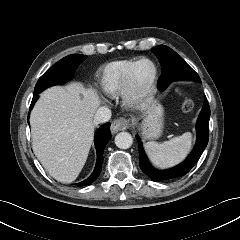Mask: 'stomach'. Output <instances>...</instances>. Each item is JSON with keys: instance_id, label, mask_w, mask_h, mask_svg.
<instances>
[{"instance_id": "0dacf381", "label": "stomach", "mask_w": 240, "mask_h": 240, "mask_svg": "<svg viewBox=\"0 0 240 240\" xmlns=\"http://www.w3.org/2000/svg\"><path fill=\"white\" fill-rule=\"evenodd\" d=\"M147 114L142 123V135L145 139H156L163 129V108L158 103L152 102L147 108Z\"/></svg>"}]
</instances>
